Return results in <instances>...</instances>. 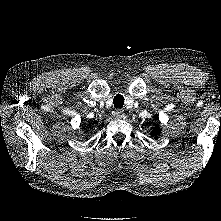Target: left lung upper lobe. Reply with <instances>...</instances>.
Segmentation results:
<instances>
[{"label": "left lung upper lobe", "mask_w": 221, "mask_h": 221, "mask_svg": "<svg viewBox=\"0 0 221 221\" xmlns=\"http://www.w3.org/2000/svg\"><path fill=\"white\" fill-rule=\"evenodd\" d=\"M159 134H160L159 127L156 125V126L153 128L151 135H152V136H157V135H159Z\"/></svg>", "instance_id": "obj_1"}]
</instances>
